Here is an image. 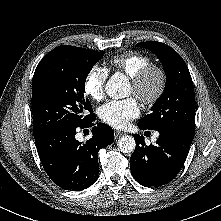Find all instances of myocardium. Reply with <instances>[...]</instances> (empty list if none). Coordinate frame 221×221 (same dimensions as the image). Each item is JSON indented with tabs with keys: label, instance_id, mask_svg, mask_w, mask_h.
I'll list each match as a JSON object with an SVG mask.
<instances>
[{
	"label": "myocardium",
	"instance_id": "myocardium-1",
	"mask_svg": "<svg viewBox=\"0 0 221 221\" xmlns=\"http://www.w3.org/2000/svg\"><path fill=\"white\" fill-rule=\"evenodd\" d=\"M167 73L157 64H151L132 78L133 93L146 105L160 99L167 86Z\"/></svg>",
	"mask_w": 221,
	"mask_h": 221
}]
</instances>
